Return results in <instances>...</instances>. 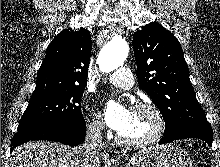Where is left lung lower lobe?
<instances>
[{"label":"left lung lower lobe","instance_id":"0a47b994","mask_svg":"<svg viewBox=\"0 0 220 167\" xmlns=\"http://www.w3.org/2000/svg\"><path fill=\"white\" fill-rule=\"evenodd\" d=\"M186 138H198L206 141L209 143L210 146H212V129L209 123H199L191 125L187 128H185L183 131H181L177 135L172 136H164L159 144H165L170 143L178 139H186Z\"/></svg>","mask_w":220,"mask_h":167}]
</instances>
